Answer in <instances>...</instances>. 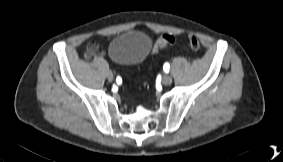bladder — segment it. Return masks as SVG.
I'll use <instances>...</instances> for the list:
<instances>
[{
	"instance_id": "31cf9c89",
	"label": "bladder",
	"mask_w": 283,
	"mask_h": 162,
	"mask_svg": "<svg viewBox=\"0 0 283 162\" xmlns=\"http://www.w3.org/2000/svg\"><path fill=\"white\" fill-rule=\"evenodd\" d=\"M152 48L148 35L139 31H126L116 36L109 45V55L122 64L142 62Z\"/></svg>"
}]
</instances>
